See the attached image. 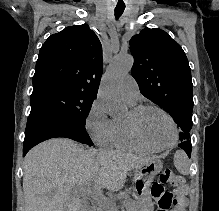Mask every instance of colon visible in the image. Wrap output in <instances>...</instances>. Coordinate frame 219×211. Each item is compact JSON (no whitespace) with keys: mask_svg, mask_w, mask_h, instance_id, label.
<instances>
[{"mask_svg":"<svg viewBox=\"0 0 219 211\" xmlns=\"http://www.w3.org/2000/svg\"><path fill=\"white\" fill-rule=\"evenodd\" d=\"M159 182L173 189L172 211L185 210L187 204V186L184 178L172 169L167 168L159 175Z\"/></svg>","mask_w":219,"mask_h":211,"instance_id":"obj_1","label":"colon"}]
</instances>
